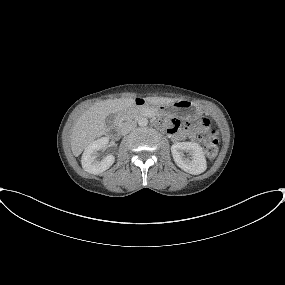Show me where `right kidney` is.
Masks as SVG:
<instances>
[{"label": "right kidney", "instance_id": "ca27d5eb", "mask_svg": "<svg viewBox=\"0 0 285 285\" xmlns=\"http://www.w3.org/2000/svg\"><path fill=\"white\" fill-rule=\"evenodd\" d=\"M109 139L102 137L90 143L84 150L81 163L83 169L90 174H100L106 171L115 161V157L111 154L102 160L97 159V152L107 148Z\"/></svg>", "mask_w": 285, "mask_h": 285}]
</instances>
